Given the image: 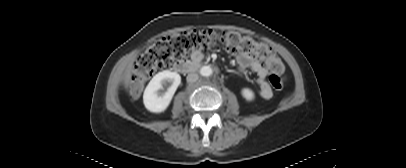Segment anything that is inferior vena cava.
Wrapping results in <instances>:
<instances>
[{
    "label": "inferior vena cava",
    "instance_id": "602c4592",
    "mask_svg": "<svg viewBox=\"0 0 406 168\" xmlns=\"http://www.w3.org/2000/svg\"><path fill=\"white\" fill-rule=\"evenodd\" d=\"M198 74L197 73H189L188 75H187V82L188 83H194V82H196L197 80H198Z\"/></svg>",
    "mask_w": 406,
    "mask_h": 168
}]
</instances>
